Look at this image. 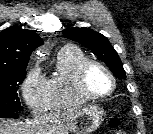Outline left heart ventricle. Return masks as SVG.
<instances>
[{"mask_svg":"<svg viewBox=\"0 0 153 134\" xmlns=\"http://www.w3.org/2000/svg\"><path fill=\"white\" fill-rule=\"evenodd\" d=\"M87 86L92 93L103 94L110 91L112 82L103 70L94 67L88 73Z\"/></svg>","mask_w":153,"mask_h":134,"instance_id":"b2bd125f","label":"left heart ventricle"}]
</instances>
